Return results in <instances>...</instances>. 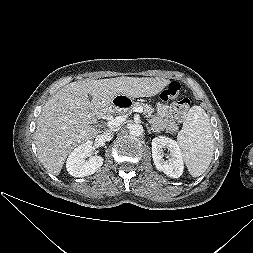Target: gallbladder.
I'll use <instances>...</instances> for the list:
<instances>
[{"mask_svg":"<svg viewBox=\"0 0 253 253\" xmlns=\"http://www.w3.org/2000/svg\"><path fill=\"white\" fill-rule=\"evenodd\" d=\"M93 126H94V127H97V125H96V124H94Z\"/></svg>","mask_w":253,"mask_h":253,"instance_id":"1","label":"gallbladder"}]
</instances>
